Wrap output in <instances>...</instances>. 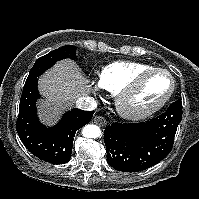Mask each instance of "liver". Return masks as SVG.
<instances>
[{
	"mask_svg": "<svg viewBox=\"0 0 199 199\" xmlns=\"http://www.w3.org/2000/svg\"><path fill=\"white\" fill-rule=\"evenodd\" d=\"M89 80L71 60L58 62L38 83L44 100L40 102L39 116L43 123L54 125L60 115L71 109L76 100L90 93Z\"/></svg>",
	"mask_w": 199,
	"mask_h": 199,
	"instance_id": "6515ba94",
	"label": "liver"
}]
</instances>
